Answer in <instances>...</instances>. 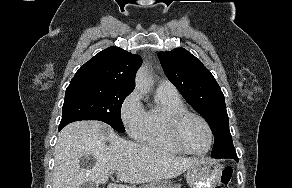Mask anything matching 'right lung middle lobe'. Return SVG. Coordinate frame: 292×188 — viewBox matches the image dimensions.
Masks as SVG:
<instances>
[{"label": "right lung middle lobe", "mask_w": 292, "mask_h": 188, "mask_svg": "<svg viewBox=\"0 0 292 188\" xmlns=\"http://www.w3.org/2000/svg\"><path fill=\"white\" fill-rule=\"evenodd\" d=\"M131 90L94 82H70L66 89L60 126L78 120H99L125 132L121 105Z\"/></svg>", "instance_id": "1"}]
</instances>
